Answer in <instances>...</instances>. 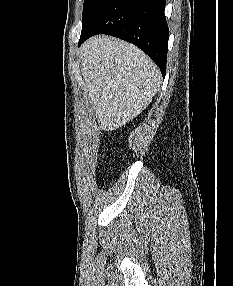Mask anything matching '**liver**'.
I'll return each mask as SVG.
<instances>
[{"label": "liver", "instance_id": "1", "mask_svg": "<svg viewBox=\"0 0 233 286\" xmlns=\"http://www.w3.org/2000/svg\"><path fill=\"white\" fill-rule=\"evenodd\" d=\"M81 73L100 129L112 131L152 102L162 77L139 48L108 36L88 39L80 48Z\"/></svg>", "mask_w": 233, "mask_h": 286}]
</instances>
